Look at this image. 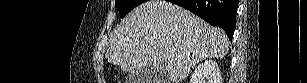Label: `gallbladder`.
Instances as JSON below:
<instances>
[{"label":"gallbladder","mask_w":307,"mask_h":83,"mask_svg":"<svg viewBox=\"0 0 307 83\" xmlns=\"http://www.w3.org/2000/svg\"><path fill=\"white\" fill-rule=\"evenodd\" d=\"M165 74L158 67H146L129 73L127 80L130 83H164Z\"/></svg>","instance_id":"obj_1"}]
</instances>
